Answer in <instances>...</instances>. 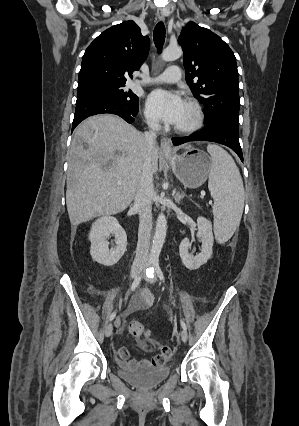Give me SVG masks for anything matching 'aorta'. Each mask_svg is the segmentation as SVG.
Here are the masks:
<instances>
[{
    "instance_id": "1",
    "label": "aorta",
    "mask_w": 299,
    "mask_h": 426,
    "mask_svg": "<svg viewBox=\"0 0 299 426\" xmlns=\"http://www.w3.org/2000/svg\"><path fill=\"white\" fill-rule=\"evenodd\" d=\"M182 49L179 46H168L162 53L163 61H174L181 57ZM167 230V220L163 213H160L156 222V230L150 250L149 259L151 262H158L161 249L163 247Z\"/></svg>"
}]
</instances>
